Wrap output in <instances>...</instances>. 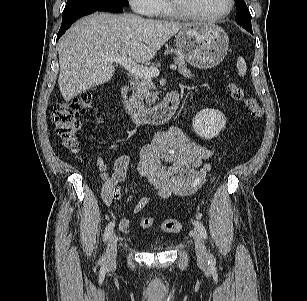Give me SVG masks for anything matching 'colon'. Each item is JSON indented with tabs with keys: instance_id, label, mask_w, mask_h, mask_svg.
I'll list each match as a JSON object with an SVG mask.
<instances>
[{
	"instance_id": "obj_1",
	"label": "colon",
	"mask_w": 307,
	"mask_h": 301,
	"mask_svg": "<svg viewBox=\"0 0 307 301\" xmlns=\"http://www.w3.org/2000/svg\"><path fill=\"white\" fill-rule=\"evenodd\" d=\"M229 91L234 100L244 103L253 119L259 120L262 117V108L256 99L246 95L241 85L232 82L229 84ZM92 99L93 96L90 92H82L72 100L58 103L53 110L52 122L64 145L71 151H76L78 147L79 117L90 108ZM154 223V218L144 217L141 226L147 229L153 227ZM159 227L168 233H178L181 231L182 225L177 219H165Z\"/></svg>"
}]
</instances>
